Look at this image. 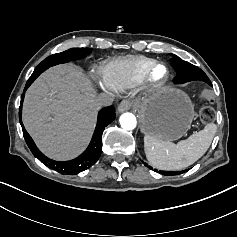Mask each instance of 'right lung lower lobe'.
<instances>
[{
	"mask_svg": "<svg viewBox=\"0 0 237 237\" xmlns=\"http://www.w3.org/2000/svg\"><path fill=\"white\" fill-rule=\"evenodd\" d=\"M36 78L30 77L26 83L24 92L21 96V103H20V111H19V120L23 130V136L25 141L30 148L33 155L38 158L44 165L53 169L61 174H68V175H76L94 165L97 160L99 159L101 152H102V133L105 127L110 124L116 117L115 109L113 106L103 108L98 114V121L96 125V129L92 140L85 150L79 157L74 160L67 161V162H56L54 160L49 159L43 153L39 151L36 147L34 141L30 137V135L25 130L22 124V103L25 95V91L27 88L34 82Z\"/></svg>",
	"mask_w": 237,
	"mask_h": 237,
	"instance_id": "98d812e1",
	"label": "right lung lower lobe"
}]
</instances>
